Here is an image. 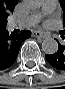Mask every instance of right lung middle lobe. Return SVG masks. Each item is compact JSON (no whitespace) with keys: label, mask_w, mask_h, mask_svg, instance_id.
I'll use <instances>...</instances> for the list:
<instances>
[{"label":"right lung middle lobe","mask_w":65,"mask_h":89,"mask_svg":"<svg viewBox=\"0 0 65 89\" xmlns=\"http://www.w3.org/2000/svg\"><path fill=\"white\" fill-rule=\"evenodd\" d=\"M6 23H7L6 19L0 21V28L5 27L6 26Z\"/></svg>","instance_id":"dd1d6c3e"}]
</instances>
